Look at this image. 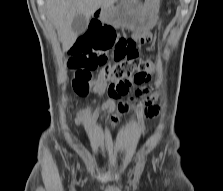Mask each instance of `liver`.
Returning <instances> with one entry per match:
<instances>
[{
	"label": "liver",
	"instance_id": "liver-1",
	"mask_svg": "<svg viewBox=\"0 0 223 191\" xmlns=\"http://www.w3.org/2000/svg\"><path fill=\"white\" fill-rule=\"evenodd\" d=\"M118 0H46L48 17L54 22L63 48L73 45L77 35L72 31V22L76 15L87 19L100 7L113 8Z\"/></svg>",
	"mask_w": 223,
	"mask_h": 191
}]
</instances>
